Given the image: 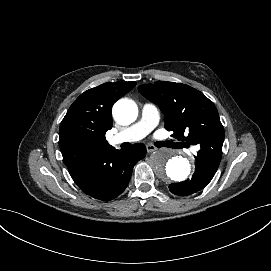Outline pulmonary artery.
I'll use <instances>...</instances> for the list:
<instances>
[{"mask_svg": "<svg viewBox=\"0 0 271 271\" xmlns=\"http://www.w3.org/2000/svg\"><path fill=\"white\" fill-rule=\"evenodd\" d=\"M159 120V112L155 105L146 103L142 107V114L140 120L124 131L114 133L109 138L112 145L122 143H133L141 140L146 135H151L155 131V126ZM187 152L201 154L203 147L201 145L191 146L189 143L184 145Z\"/></svg>", "mask_w": 271, "mask_h": 271, "instance_id": "e3ab8cb5", "label": "pulmonary artery"}]
</instances>
